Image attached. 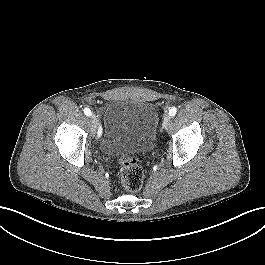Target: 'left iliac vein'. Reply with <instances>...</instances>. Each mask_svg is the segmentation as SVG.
Returning <instances> with one entry per match:
<instances>
[{"label": "left iliac vein", "instance_id": "obj_1", "mask_svg": "<svg viewBox=\"0 0 265 265\" xmlns=\"http://www.w3.org/2000/svg\"><path fill=\"white\" fill-rule=\"evenodd\" d=\"M169 125H170V116L168 114H166L163 117V127L165 129H168Z\"/></svg>", "mask_w": 265, "mask_h": 265}]
</instances>
